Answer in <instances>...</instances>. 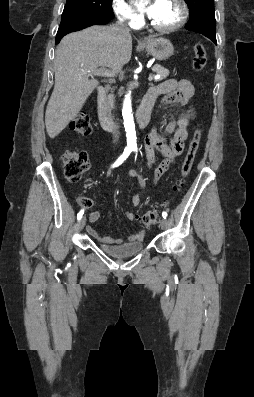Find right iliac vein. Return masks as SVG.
<instances>
[{"label": "right iliac vein", "mask_w": 254, "mask_h": 397, "mask_svg": "<svg viewBox=\"0 0 254 397\" xmlns=\"http://www.w3.org/2000/svg\"><path fill=\"white\" fill-rule=\"evenodd\" d=\"M85 224H86V218L83 217L78 222V229L81 231L84 228Z\"/></svg>", "instance_id": "63e3f726"}]
</instances>
